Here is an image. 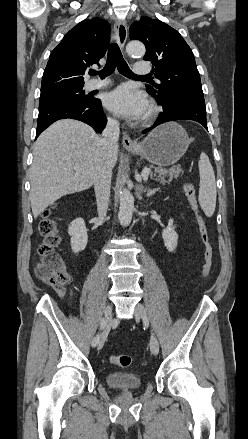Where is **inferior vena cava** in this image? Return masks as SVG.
Returning <instances> with one entry per match:
<instances>
[{
	"label": "inferior vena cava",
	"mask_w": 248,
	"mask_h": 439,
	"mask_svg": "<svg viewBox=\"0 0 248 439\" xmlns=\"http://www.w3.org/2000/svg\"><path fill=\"white\" fill-rule=\"evenodd\" d=\"M119 134V122L116 119H108L102 138V144L107 154L118 149ZM111 177L112 167L110 162H106L98 169L94 179L98 216L101 221L104 220L107 213L110 198Z\"/></svg>",
	"instance_id": "1"
}]
</instances>
